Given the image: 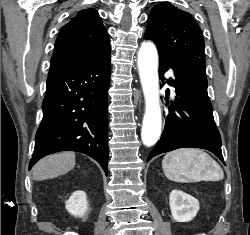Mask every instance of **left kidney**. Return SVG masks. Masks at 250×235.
I'll return each mask as SVG.
<instances>
[{"label":"left kidney","mask_w":250,"mask_h":235,"mask_svg":"<svg viewBox=\"0 0 250 235\" xmlns=\"http://www.w3.org/2000/svg\"><path fill=\"white\" fill-rule=\"evenodd\" d=\"M169 205L172 217L176 222L191 221L200 208L198 200L181 190L171 191Z\"/></svg>","instance_id":"left-kidney-1"}]
</instances>
